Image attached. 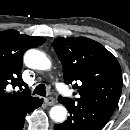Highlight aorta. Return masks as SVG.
I'll list each match as a JSON object with an SVG mask.
<instances>
[{"label": "aorta", "instance_id": "1", "mask_svg": "<svg viewBox=\"0 0 130 130\" xmlns=\"http://www.w3.org/2000/svg\"><path fill=\"white\" fill-rule=\"evenodd\" d=\"M24 63L27 67L37 70H49L51 68V61L45 53L30 49L24 55ZM50 118L57 122L62 123L67 116V110L62 105H55L50 109Z\"/></svg>", "mask_w": 130, "mask_h": 130}]
</instances>
